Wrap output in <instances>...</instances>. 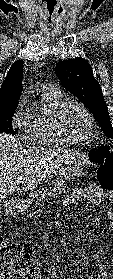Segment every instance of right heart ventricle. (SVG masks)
<instances>
[{
  "label": "right heart ventricle",
  "instance_id": "obj_1",
  "mask_svg": "<svg viewBox=\"0 0 113 279\" xmlns=\"http://www.w3.org/2000/svg\"><path fill=\"white\" fill-rule=\"evenodd\" d=\"M61 101V94L44 90L41 107L28 116L25 127V141L29 145L55 147L62 145L51 127V115Z\"/></svg>",
  "mask_w": 113,
  "mask_h": 279
}]
</instances>
